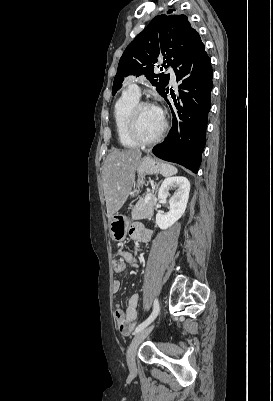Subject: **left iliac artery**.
<instances>
[{"mask_svg":"<svg viewBox=\"0 0 273 401\" xmlns=\"http://www.w3.org/2000/svg\"><path fill=\"white\" fill-rule=\"evenodd\" d=\"M159 311H160V306H159L158 299L156 298L154 300L153 311H152L151 315L144 322H142L141 324H139L137 326V328L135 329L134 334L140 332L145 327H147L156 318V316L158 315Z\"/></svg>","mask_w":273,"mask_h":401,"instance_id":"left-iliac-artery-1","label":"left iliac artery"}]
</instances>
